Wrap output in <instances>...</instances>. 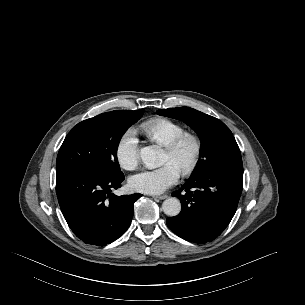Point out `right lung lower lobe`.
I'll list each match as a JSON object with an SVG mask.
<instances>
[{"instance_id":"98d812e1","label":"right lung lower lobe","mask_w":305,"mask_h":305,"mask_svg":"<svg viewBox=\"0 0 305 305\" xmlns=\"http://www.w3.org/2000/svg\"><path fill=\"white\" fill-rule=\"evenodd\" d=\"M123 173L101 177L82 171L57 173L56 193L63 216L84 243L104 246L119 238L129 227L134 203L142 196H117Z\"/></svg>"}]
</instances>
